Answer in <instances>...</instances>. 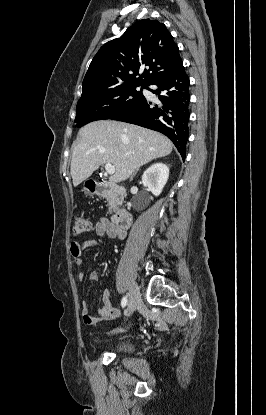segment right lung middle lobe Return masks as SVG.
Listing matches in <instances>:
<instances>
[{"instance_id":"dd1d6c3e","label":"right lung middle lobe","mask_w":266,"mask_h":415,"mask_svg":"<svg viewBox=\"0 0 266 415\" xmlns=\"http://www.w3.org/2000/svg\"><path fill=\"white\" fill-rule=\"evenodd\" d=\"M143 99L142 90L138 92L135 85H124L82 98L77 103L74 122L81 127L93 121L110 119Z\"/></svg>"}]
</instances>
